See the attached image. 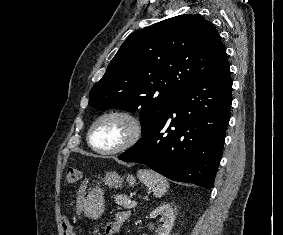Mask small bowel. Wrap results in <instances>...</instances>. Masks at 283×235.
<instances>
[{
	"label": "small bowel",
	"mask_w": 283,
	"mask_h": 235,
	"mask_svg": "<svg viewBox=\"0 0 283 235\" xmlns=\"http://www.w3.org/2000/svg\"><path fill=\"white\" fill-rule=\"evenodd\" d=\"M128 218L129 212L127 211L116 213L114 219L105 225V235H116L119 232L121 226L128 220ZM63 227H69V229H71L70 224L66 221L63 223ZM71 235H75V233L72 232Z\"/></svg>",
	"instance_id": "obj_1"
}]
</instances>
